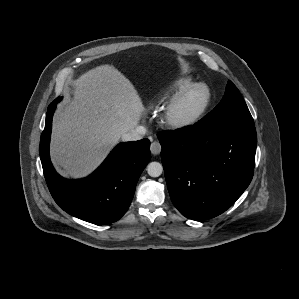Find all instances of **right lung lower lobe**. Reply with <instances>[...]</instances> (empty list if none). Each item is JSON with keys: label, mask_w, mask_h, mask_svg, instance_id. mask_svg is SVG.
I'll use <instances>...</instances> for the list:
<instances>
[{"label": "right lung lower lobe", "mask_w": 299, "mask_h": 299, "mask_svg": "<svg viewBox=\"0 0 299 299\" xmlns=\"http://www.w3.org/2000/svg\"><path fill=\"white\" fill-rule=\"evenodd\" d=\"M57 100L48 107L40 140L44 176L55 202L70 215L94 224L119 220L129 208L137 181L151 160L150 141L117 145L90 176L68 180L58 175L49 156L52 116Z\"/></svg>", "instance_id": "right-lung-lower-lobe-1"}]
</instances>
